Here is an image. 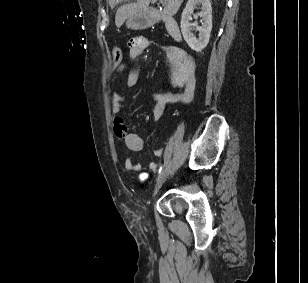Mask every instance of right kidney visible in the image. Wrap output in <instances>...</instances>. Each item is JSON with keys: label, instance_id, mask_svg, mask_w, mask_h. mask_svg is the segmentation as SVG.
<instances>
[{"label": "right kidney", "instance_id": "right-kidney-1", "mask_svg": "<svg viewBox=\"0 0 308 283\" xmlns=\"http://www.w3.org/2000/svg\"><path fill=\"white\" fill-rule=\"evenodd\" d=\"M199 4L202 5V11L193 15L194 8ZM192 15L195 19L198 17L202 18V26H198L197 22H190ZM180 27L183 38L188 46L196 52H201L207 46L212 30V7L210 0H188L181 15ZM193 29L199 31L198 39L192 33Z\"/></svg>", "mask_w": 308, "mask_h": 283}]
</instances>
